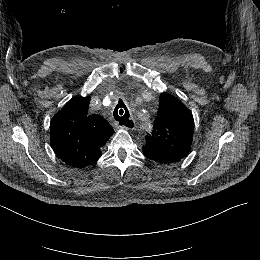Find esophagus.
Instances as JSON below:
<instances>
[{"instance_id":"1","label":"esophagus","mask_w":260,"mask_h":260,"mask_svg":"<svg viewBox=\"0 0 260 260\" xmlns=\"http://www.w3.org/2000/svg\"><path fill=\"white\" fill-rule=\"evenodd\" d=\"M121 128L126 130H133L135 129V121L134 119H129V121L126 123V125L121 126Z\"/></svg>"}]
</instances>
